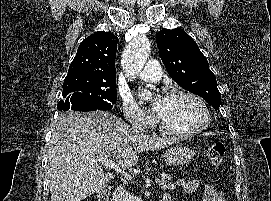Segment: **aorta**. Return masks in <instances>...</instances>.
Segmentation results:
<instances>
[{"label": "aorta", "mask_w": 271, "mask_h": 201, "mask_svg": "<svg viewBox=\"0 0 271 201\" xmlns=\"http://www.w3.org/2000/svg\"><path fill=\"white\" fill-rule=\"evenodd\" d=\"M151 51V44L145 35L133 38L126 46L122 55V67L128 75L139 73L144 67ZM144 99H150L151 93L144 91L141 95Z\"/></svg>", "instance_id": "obj_1"}]
</instances>
